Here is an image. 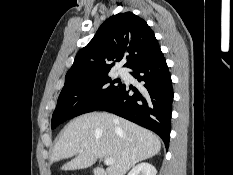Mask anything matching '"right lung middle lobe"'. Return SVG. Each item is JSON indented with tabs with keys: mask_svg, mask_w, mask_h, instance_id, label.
Here are the masks:
<instances>
[{
	"mask_svg": "<svg viewBox=\"0 0 233 175\" xmlns=\"http://www.w3.org/2000/svg\"><path fill=\"white\" fill-rule=\"evenodd\" d=\"M122 86L117 80L111 81L108 73L65 81L52 115V129L68 119L99 109Z\"/></svg>",
	"mask_w": 233,
	"mask_h": 175,
	"instance_id": "1",
	"label": "right lung middle lobe"
}]
</instances>
